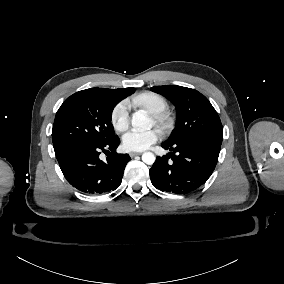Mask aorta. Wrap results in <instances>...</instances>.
Listing matches in <instances>:
<instances>
[{
  "label": "aorta",
  "mask_w": 284,
  "mask_h": 284,
  "mask_svg": "<svg viewBox=\"0 0 284 284\" xmlns=\"http://www.w3.org/2000/svg\"><path fill=\"white\" fill-rule=\"evenodd\" d=\"M132 125L143 129H150L152 126L151 119L143 110L135 112L132 116ZM156 158L152 152H145L142 155V161L147 165H152Z\"/></svg>",
  "instance_id": "762f6f07"
}]
</instances>
